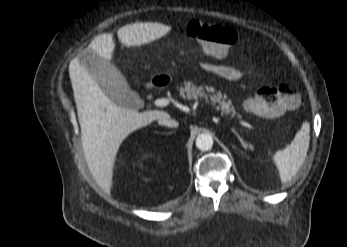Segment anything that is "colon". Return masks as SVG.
Listing matches in <instances>:
<instances>
[{"mask_svg":"<svg viewBox=\"0 0 347 247\" xmlns=\"http://www.w3.org/2000/svg\"><path fill=\"white\" fill-rule=\"evenodd\" d=\"M187 32L200 44L206 54L216 59L226 57L229 48L237 40V33L231 27L198 20L188 24ZM298 103L294 89L287 84L278 87H262L255 97L246 101L251 111L268 117H277L293 110Z\"/></svg>","mask_w":347,"mask_h":247,"instance_id":"1","label":"colon"}]
</instances>
